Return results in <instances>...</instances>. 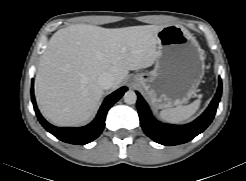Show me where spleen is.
<instances>
[{
    "label": "spleen",
    "mask_w": 246,
    "mask_h": 181,
    "mask_svg": "<svg viewBox=\"0 0 246 181\" xmlns=\"http://www.w3.org/2000/svg\"><path fill=\"white\" fill-rule=\"evenodd\" d=\"M200 104L201 100L197 99L186 106L164 109L160 112V116L167 122L181 123L194 115L199 109Z\"/></svg>",
    "instance_id": "1"
}]
</instances>
